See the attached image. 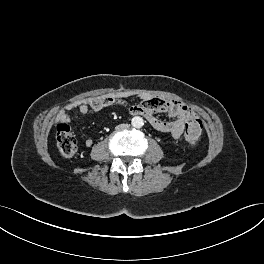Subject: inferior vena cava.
<instances>
[{
  "mask_svg": "<svg viewBox=\"0 0 264 264\" xmlns=\"http://www.w3.org/2000/svg\"><path fill=\"white\" fill-rule=\"evenodd\" d=\"M131 128H132L131 124H122V125L116 126L117 130H126V129H131Z\"/></svg>",
  "mask_w": 264,
  "mask_h": 264,
  "instance_id": "inferior-vena-cava-1",
  "label": "inferior vena cava"
}]
</instances>
